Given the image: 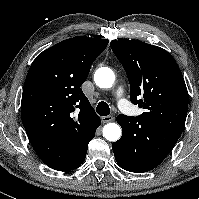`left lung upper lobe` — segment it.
<instances>
[{
	"label": "left lung upper lobe",
	"instance_id": "5c2ea615",
	"mask_svg": "<svg viewBox=\"0 0 199 199\" xmlns=\"http://www.w3.org/2000/svg\"><path fill=\"white\" fill-rule=\"evenodd\" d=\"M130 83V99L143 108L136 118L180 137L188 111V91L174 58L142 41H111Z\"/></svg>",
	"mask_w": 199,
	"mask_h": 199
}]
</instances>
